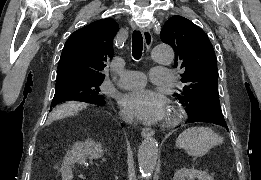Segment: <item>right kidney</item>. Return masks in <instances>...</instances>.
Listing matches in <instances>:
<instances>
[{"label": "right kidney", "mask_w": 261, "mask_h": 180, "mask_svg": "<svg viewBox=\"0 0 261 180\" xmlns=\"http://www.w3.org/2000/svg\"><path fill=\"white\" fill-rule=\"evenodd\" d=\"M104 150L101 144H96L93 140H85V142H75L71 150L67 152L63 164L61 166V174L63 180H71L72 166L75 162L85 164L87 158H102Z\"/></svg>", "instance_id": "ca27d5eb"}]
</instances>
